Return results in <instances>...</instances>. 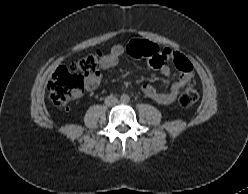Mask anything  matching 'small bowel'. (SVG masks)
Instances as JSON below:
<instances>
[{
  "mask_svg": "<svg viewBox=\"0 0 248 194\" xmlns=\"http://www.w3.org/2000/svg\"><path fill=\"white\" fill-rule=\"evenodd\" d=\"M125 53V48L122 45H115L112 47L110 54L105 55L101 58L100 67L103 70L115 67L119 58ZM173 54L169 50H165L159 53L157 59L163 57L166 59H171L173 61V66L163 62L162 64L156 65L154 58H150L149 64L151 66L158 67L164 76H171L173 69H178L181 74L179 77L170 85L169 89L164 92H158L152 85L148 83L142 84V92L149 98L155 100L156 102L167 105L172 103L180 90L186 85V83L193 77V68L188 59L184 56L181 62H177L173 57ZM101 82V75L97 74L95 76H90L85 80V89L87 91L95 90Z\"/></svg>",
  "mask_w": 248,
  "mask_h": 194,
  "instance_id": "c3829d8e",
  "label": "small bowel"
}]
</instances>
